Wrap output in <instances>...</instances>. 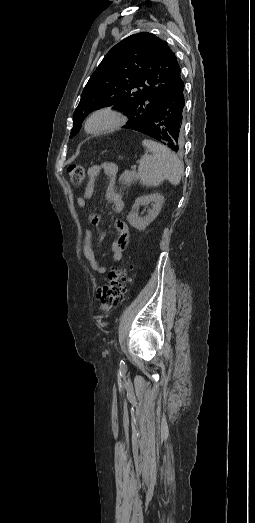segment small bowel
I'll use <instances>...</instances> for the list:
<instances>
[{
    "label": "small bowel",
    "instance_id": "obj_1",
    "mask_svg": "<svg viewBox=\"0 0 255 523\" xmlns=\"http://www.w3.org/2000/svg\"><path fill=\"white\" fill-rule=\"evenodd\" d=\"M103 168L105 171L109 174L110 180L107 185L106 189V197L111 202V206L114 212L120 213L124 209V202L121 198V196L116 192L115 188V175H116V167L112 164H105L103 165ZM99 172L98 167H92L89 169L88 174L90 177L89 183L86 186V189L84 191V194L77 198L76 203L80 208L85 207L87 200L91 199L94 193V186H95V178L97 177ZM89 221L90 223L94 225H99L101 218L97 214H90L89 215ZM115 228L117 231V238L112 243L111 249L109 252V256L111 257V260L115 263L120 262L123 257V252L128 244L129 241V230L128 226L124 221L118 220L115 223ZM104 234L100 235V241L103 240ZM92 231L89 228L85 229L84 232V238H83V254L85 259L88 261L91 269L98 273V274H104L106 272V268L102 266L93 250L92 246Z\"/></svg>",
    "mask_w": 255,
    "mask_h": 523
}]
</instances>
